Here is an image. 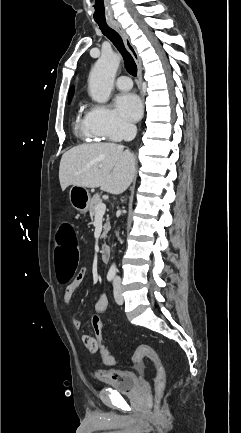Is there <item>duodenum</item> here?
<instances>
[{"label": "duodenum", "mask_w": 241, "mask_h": 433, "mask_svg": "<svg viewBox=\"0 0 241 433\" xmlns=\"http://www.w3.org/2000/svg\"><path fill=\"white\" fill-rule=\"evenodd\" d=\"M110 254H111V246L109 244H102L100 246V255L102 258V261L107 262L110 259Z\"/></svg>", "instance_id": "obj_1"}]
</instances>
